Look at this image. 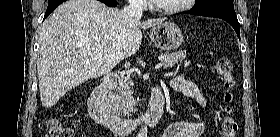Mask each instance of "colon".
Wrapping results in <instances>:
<instances>
[{"label":"colon","instance_id":"obj_1","mask_svg":"<svg viewBox=\"0 0 280 137\" xmlns=\"http://www.w3.org/2000/svg\"><path fill=\"white\" fill-rule=\"evenodd\" d=\"M216 73L223 79L225 93L224 119L222 121L223 137H235L237 131V122L234 117L233 102V66L229 58L222 56L217 60ZM46 129L49 137H73V131L62 123L59 119L51 118L46 123Z\"/></svg>","mask_w":280,"mask_h":137}]
</instances>
